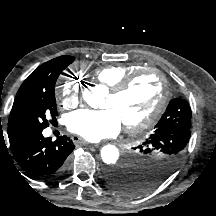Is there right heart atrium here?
<instances>
[{
  "label": "right heart atrium",
  "instance_id": "d8ad5b80",
  "mask_svg": "<svg viewBox=\"0 0 216 216\" xmlns=\"http://www.w3.org/2000/svg\"><path fill=\"white\" fill-rule=\"evenodd\" d=\"M82 84L78 78H63L56 91V98L67 107H76L81 101Z\"/></svg>",
  "mask_w": 216,
  "mask_h": 216
}]
</instances>
